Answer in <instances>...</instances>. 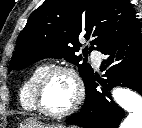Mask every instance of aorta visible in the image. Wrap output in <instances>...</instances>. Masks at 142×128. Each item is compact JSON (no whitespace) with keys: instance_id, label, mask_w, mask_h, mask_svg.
Here are the masks:
<instances>
[{"instance_id":"762f6f07","label":"aorta","mask_w":142,"mask_h":128,"mask_svg":"<svg viewBox=\"0 0 142 128\" xmlns=\"http://www.w3.org/2000/svg\"><path fill=\"white\" fill-rule=\"evenodd\" d=\"M112 97L118 106L129 113L120 128H142V97L125 88H115Z\"/></svg>"}]
</instances>
